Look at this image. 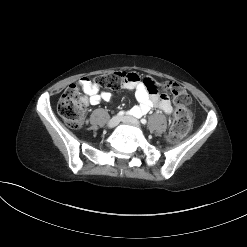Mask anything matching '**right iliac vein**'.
I'll use <instances>...</instances> for the list:
<instances>
[{"mask_svg": "<svg viewBox=\"0 0 247 247\" xmlns=\"http://www.w3.org/2000/svg\"><path fill=\"white\" fill-rule=\"evenodd\" d=\"M120 120H121V117L118 116V115L112 117V118L109 120V122H108V127L113 128V127L117 126V125L119 124Z\"/></svg>", "mask_w": 247, "mask_h": 247, "instance_id": "right-iliac-vein-1", "label": "right iliac vein"}]
</instances>
